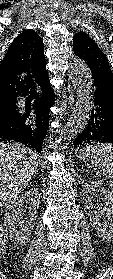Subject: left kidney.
<instances>
[{
    "instance_id": "obj_1",
    "label": "left kidney",
    "mask_w": 113,
    "mask_h": 279,
    "mask_svg": "<svg viewBox=\"0 0 113 279\" xmlns=\"http://www.w3.org/2000/svg\"><path fill=\"white\" fill-rule=\"evenodd\" d=\"M92 195L103 197L104 205L101 210H94ZM82 201L85 212L98 237L113 242V191L103 187L100 182L90 180L84 184ZM102 217L103 221H101Z\"/></svg>"
}]
</instances>
